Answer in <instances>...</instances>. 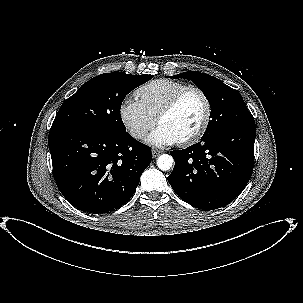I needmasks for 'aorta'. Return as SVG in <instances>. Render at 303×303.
Returning <instances> with one entry per match:
<instances>
[{
    "label": "aorta",
    "mask_w": 303,
    "mask_h": 303,
    "mask_svg": "<svg viewBox=\"0 0 303 303\" xmlns=\"http://www.w3.org/2000/svg\"><path fill=\"white\" fill-rule=\"evenodd\" d=\"M173 163H174L173 157L168 154H162L157 159V166L162 171L169 170L173 166Z\"/></svg>",
    "instance_id": "762f6f07"
}]
</instances>
